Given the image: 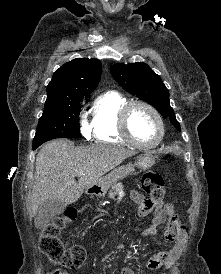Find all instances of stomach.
I'll return each instance as SVG.
<instances>
[{
    "label": "stomach",
    "instance_id": "1",
    "mask_svg": "<svg viewBox=\"0 0 221 274\" xmlns=\"http://www.w3.org/2000/svg\"><path fill=\"white\" fill-rule=\"evenodd\" d=\"M155 157L152 153L145 152L139 155L134 164L129 163L113 169L108 175L101 178L95 185V190L106 193L117 181L124 179L135 171V167L146 170L153 166Z\"/></svg>",
    "mask_w": 221,
    "mask_h": 274
}]
</instances>
